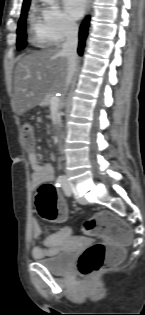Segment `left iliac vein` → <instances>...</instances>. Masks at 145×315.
Here are the masks:
<instances>
[{"label":"left iliac vein","mask_w":145,"mask_h":315,"mask_svg":"<svg viewBox=\"0 0 145 315\" xmlns=\"http://www.w3.org/2000/svg\"><path fill=\"white\" fill-rule=\"evenodd\" d=\"M63 190L66 196H71L72 194V188L71 185L66 177H64V184H63Z\"/></svg>","instance_id":"4c4485c4"}]
</instances>
